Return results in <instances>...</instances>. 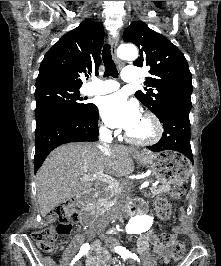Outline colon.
I'll list each match as a JSON object with an SVG mask.
<instances>
[{
  "label": "colon",
  "mask_w": 221,
  "mask_h": 266,
  "mask_svg": "<svg viewBox=\"0 0 221 266\" xmlns=\"http://www.w3.org/2000/svg\"><path fill=\"white\" fill-rule=\"evenodd\" d=\"M186 191L184 184H177L172 193L173 199L181 198ZM157 214L160 219L167 220L170 218L171 206L165 199H159L156 203ZM52 214L59 219V224L56 228L48 227L41 230H36L32 233L33 239L36 241L39 248L45 252H52L56 249L58 236L69 235L72 230V222L77 218L76 204L74 201H67L56 206ZM159 244H172V258L179 261L185 253V245L182 241H174L173 235L170 233H160L158 236Z\"/></svg>",
  "instance_id": "1"
}]
</instances>
